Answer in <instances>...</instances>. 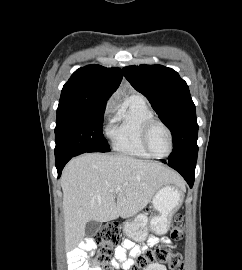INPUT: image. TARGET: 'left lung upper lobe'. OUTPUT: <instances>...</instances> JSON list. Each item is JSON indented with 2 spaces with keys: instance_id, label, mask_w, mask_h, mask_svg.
<instances>
[{
  "instance_id": "5c2ea615",
  "label": "left lung upper lobe",
  "mask_w": 242,
  "mask_h": 270,
  "mask_svg": "<svg viewBox=\"0 0 242 270\" xmlns=\"http://www.w3.org/2000/svg\"><path fill=\"white\" fill-rule=\"evenodd\" d=\"M130 84L147 97L173 137L168 162L196 161L198 124L188 85L179 74L162 65L129 66L123 69Z\"/></svg>"
}]
</instances>
